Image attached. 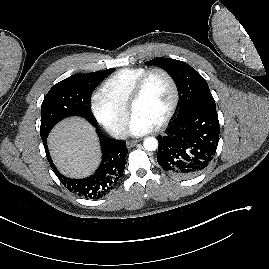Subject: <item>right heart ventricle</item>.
Returning a JSON list of instances; mask_svg holds the SVG:
<instances>
[{
	"instance_id": "right-heart-ventricle-1",
	"label": "right heart ventricle",
	"mask_w": 269,
	"mask_h": 269,
	"mask_svg": "<svg viewBox=\"0 0 269 269\" xmlns=\"http://www.w3.org/2000/svg\"><path fill=\"white\" fill-rule=\"evenodd\" d=\"M147 70L146 67L122 68L103 83L102 92L115 104L126 109L136 82Z\"/></svg>"
}]
</instances>
